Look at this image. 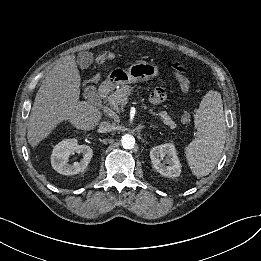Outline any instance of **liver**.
<instances>
[{
    "instance_id": "6515ba94",
    "label": "liver",
    "mask_w": 261,
    "mask_h": 261,
    "mask_svg": "<svg viewBox=\"0 0 261 261\" xmlns=\"http://www.w3.org/2000/svg\"><path fill=\"white\" fill-rule=\"evenodd\" d=\"M81 78L74 55L64 57L45 76L30 113L27 139L36 147L62 121L91 130L102 113L92 103L79 101Z\"/></svg>"
}]
</instances>
